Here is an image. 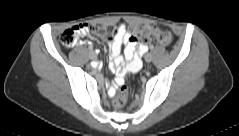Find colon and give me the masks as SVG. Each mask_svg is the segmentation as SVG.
<instances>
[{
    "label": "colon",
    "mask_w": 239,
    "mask_h": 136,
    "mask_svg": "<svg viewBox=\"0 0 239 136\" xmlns=\"http://www.w3.org/2000/svg\"><path fill=\"white\" fill-rule=\"evenodd\" d=\"M116 31V27L113 24H109L106 26L93 24H78L66 29L62 33L60 41L64 46L72 47L77 43L80 36L91 34L102 39H111L116 34ZM132 36L133 39L136 41H156L161 45L167 47L173 46V38L169 32L162 31L149 25L136 27L133 30ZM118 86L119 87L117 94L113 100V105L115 108L123 107L128 95L127 88L122 81L118 84Z\"/></svg>",
    "instance_id": "colon-1"
}]
</instances>
